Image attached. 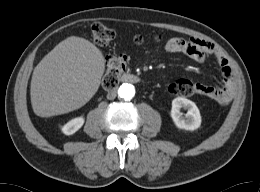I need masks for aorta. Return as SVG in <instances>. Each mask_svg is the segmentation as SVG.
I'll list each match as a JSON object with an SVG mask.
<instances>
[{"label":"aorta","mask_w":260,"mask_h":192,"mask_svg":"<svg viewBox=\"0 0 260 192\" xmlns=\"http://www.w3.org/2000/svg\"><path fill=\"white\" fill-rule=\"evenodd\" d=\"M118 95L124 100H131L135 95V88L132 84H122L118 89Z\"/></svg>","instance_id":"aorta-1"}]
</instances>
